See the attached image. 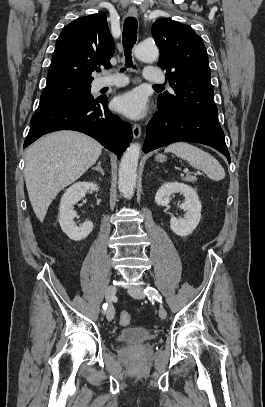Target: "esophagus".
<instances>
[{
	"mask_svg": "<svg viewBox=\"0 0 265 407\" xmlns=\"http://www.w3.org/2000/svg\"><path fill=\"white\" fill-rule=\"evenodd\" d=\"M128 14L131 17H137L138 11H137L136 7H134V6L129 7ZM132 131H133L134 139H138L141 136V126L139 124H134Z\"/></svg>",
	"mask_w": 265,
	"mask_h": 407,
	"instance_id": "34e87169",
	"label": "esophagus"
}]
</instances>
